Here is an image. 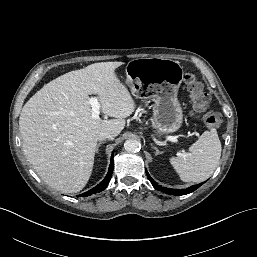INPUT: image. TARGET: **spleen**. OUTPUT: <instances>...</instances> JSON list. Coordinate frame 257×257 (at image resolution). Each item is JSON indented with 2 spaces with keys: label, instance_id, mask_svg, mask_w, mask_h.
<instances>
[{
  "label": "spleen",
  "instance_id": "spleen-1",
  "mask_svg": "<svg viewBox=\"0 0 257 257\" xmlns=\"http://www.w3.org/2000/svg\"><path fill=\"white\" fill-rule=\"evenodd\" d=\"M221 142L216 129L205 131L189 147V153L171 157L170 163L184 182H202L216 169L221 157Z\"/></svg>",
  "mask_w": 257,
  "mask_h": 257
}]
</instances>
